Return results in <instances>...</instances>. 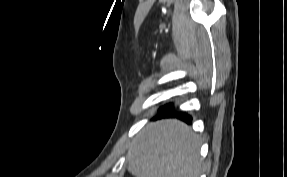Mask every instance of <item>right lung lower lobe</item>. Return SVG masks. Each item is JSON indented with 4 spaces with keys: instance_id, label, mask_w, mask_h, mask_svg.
Masks as SVG:
<instances>
[{
    "instance_id": "obj_1",
    "label": "right lung lower lobe",
    "mask_w": 287,
    "mask_h": 177,
    "mask_svg": "<svg viewBox=\"0 0 287 177\" xmlns=\"http://www.w3.org/2000/svg\"><path fill=\"white\" fill-rule=\"evenodd\" d=\"M161 117H177L188 123H190L192 120V118L188 114L174 110L171 104L160 108V114L157 115L156 118Z\"/></svg>"
}]
</instances>
